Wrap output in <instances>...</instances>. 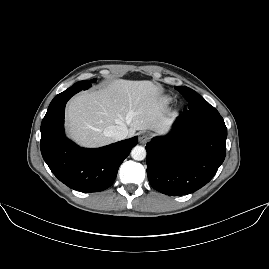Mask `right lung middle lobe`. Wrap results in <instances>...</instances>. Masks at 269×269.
I'll use <instances>...</instances> for the list:
<instances>
[{"label": "right lung middle lobe", "instance_id": "right-lung-middle-lobe-1", "mask_svg": "<svg viewBox=\"0 0 269 269\" xmlns=\"http://www.w3.org/2000/svg\"><path fill=\"white\" fill-rule=\"evenodd\" d=\"M96 81V79H92L91 81H80V82H77V83H75L74 85H76V86H83L84 87V89H88L90 86H89V84L90 83H94Z\"/></svg>", "mask_w": 269, "mask_h": 269}]
</instances>
